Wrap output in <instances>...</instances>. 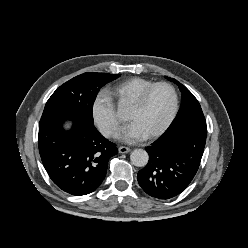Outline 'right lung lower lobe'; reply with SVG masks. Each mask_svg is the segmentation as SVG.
<instances>
[{"label": "right lung lower lobe", "instance_id": "1", "mask_svg": "<svg viewBox=\"0 0 248 248\" xmlns=\"http://www.w3.org/2000/svg\"><path fill=\"white\" fill-rule=\"evenodd\" d=\"M72 121L69 131L63 130L64 120L39 129L38 145L51 180L63 191L81 196L100 186L108 161L118 149L97 131L94 124Z\"/></svg>", "mask_w": 248, "mask_h": 248}]
</instances>
